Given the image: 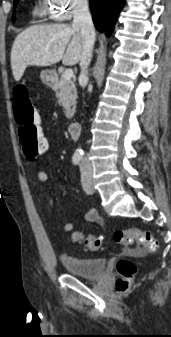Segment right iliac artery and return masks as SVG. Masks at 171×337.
I'll use <instances>...</instances> for the list:
<instances>
[{
    "mask_svg": "<svg viewBox=\"0 0 171 337\" xmlns=\"http://www.w3.org/2000/svg\"><path fill=\"white\" fill-rule=\"evenodd\" d=\"M82 160V156L80 155H74L73 158H72V162L75 164V165H78Z\"/></svg>",
    "mask_w": 171,
    "mask_h": 337,
    "instance_id": "right-iliac-artery-1",
    "label": "right iliac artery"
}]
</instances>
